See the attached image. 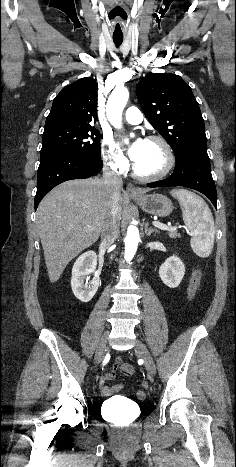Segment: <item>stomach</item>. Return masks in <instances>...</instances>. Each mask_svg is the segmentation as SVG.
Wrapping results in <instances>:
<instances>
[{
  "label": "stomach",
  "instance_id": "1",
  "mask_svg": "<svg viewBox=\"0 0 236 467\" xmlns=\"http://www.w3.org/2000/svg\"><path fill=\"white\" fill-rule=\"evenodd\" d=\"M146 213L166 217L173 210L172 202L162 194H149L133 198Z\"/></svg>",
  "mask_w": 236,
  "mask_h": 467
}]
</instances>
